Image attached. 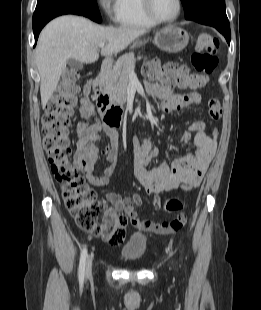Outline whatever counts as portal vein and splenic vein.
<instances>
[{"label": "portal vein and splenic vein", "mask_w": 261, "mask_h": 310, "mask_svg": "<svg viewBox=\"0 0 261 310\" xmlns=\"http://www.w3.org/2000/svg\"><path fill=\"white\" fill-rule=\"evenodd\" d=\"M98 46H99L100 48H104L105 44H104V43H100ZM129 76H130V77H136V74H135V72H134V69H131V70L129 71Z\"/></svg>", "instance_id": "portal-vein-and-splenic-vein-1"}]
</instances>
